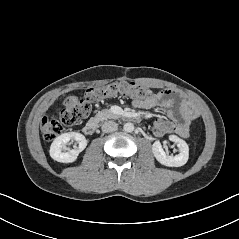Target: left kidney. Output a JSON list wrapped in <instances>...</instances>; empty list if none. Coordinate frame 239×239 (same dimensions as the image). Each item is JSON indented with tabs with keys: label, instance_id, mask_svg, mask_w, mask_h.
Returning a JSON list of instances; mask_svg holds the SVG:
<instances>
[{
	"label": "left kidney",
	"instance_id": "5707ae66",
	"mask_svg": "<svg viewBox=\"0 0 239 239\" xmlns=\"http://www.w3.org/2000/svg\"><path fill=\"white\" fill-rule=\"evenodd\" d=\"M169 139L177 144L179 147V154L175 156L166 154L161 143L155 141L152 145V152L156 160L162 165L168 167H180L185 165L189 158V148L187 143L176 135H170Z\"/></svg>",
	"mask_w": 239,
	"mask_h": 239
}]
</instances>
